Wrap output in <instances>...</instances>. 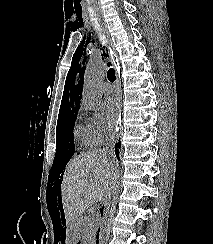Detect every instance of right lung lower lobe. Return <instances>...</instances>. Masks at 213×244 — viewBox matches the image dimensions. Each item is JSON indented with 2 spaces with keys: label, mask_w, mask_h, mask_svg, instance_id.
Returning <instances> with one entry per match:
<instances>
[{
  "label": "right lung lower lobe",
  "mask_w": 213,
  "mask_h": 244,
  "mask_svg": "<svg viewBox=\"0 0 213 244\" xmlns=\"http://www.w3.org/2000/svg\"><path fill=\"white\" fill-rule=\"evenodd\" d=\"M120 146H121V143H120V140H119V142L116 144V149H115V152H116L117 157L119 155L118 148H120Z\"/></svg>",
  "instance_id": "right-lung-lower-lobe-1"
}]
</instances>
